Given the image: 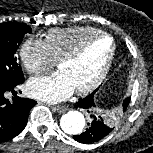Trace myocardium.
<instances>
[{"instance_id":"myocardium-1","label":"myocardium","mask_w":153,"mask_h":153,"mask_svg":"<svg viewBox=\"0 0 153 153\" xmlns=\"http://www.w3.org/2000/svg\"><path fill=\"white\" fill-rule=\"evenodd\" d=\"M102 38H107L111 41V51L110 54L104 64V66L102 67L101 71L99 72V74L94 78V80L92 82H90L88 85L79 88V89H75V92L79 95H84L87 94L91 91H93L96 87H98L102 81L105 79V77L107 76L111 65L113 63L114 57H115V53H116V43L114 38L107 34V33H99L96 35H93L87 39H85L83 42H81L73 51H71L70 53H68L67 55H65L64 57H62L59 61H58V66L65 64V63H70L75 61L76 59H78L83 52L86 50V48L94 41L98 40V39H102Z\"/></svg>"}]
</instances>
